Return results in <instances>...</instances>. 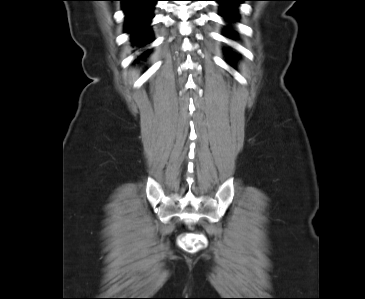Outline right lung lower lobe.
Segmentation results:
<instances>
[{
  "instance_id": "98d812e1",
  "label": "right lung lower lobe",
  "mask_w": 365,
  "mask_h": 299,
  "mask_svg": "<svg viewBox=\"0 0 365 299\" xmlns=\"http://www.w3.org/2000/svg\"><path fill=\"white\" fill-rule=\"evenodd\" d=\"M126 13L125 31L131 33L133 44L144 46L152 41V32L148 24L153 18V9L157 0H120ZM149 51L142 54L145 56Z\"/></svg>"
}]
</instances>
